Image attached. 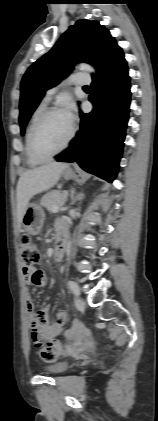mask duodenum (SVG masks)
<instances>
[{"label":"duodenum","instance_id":"obj_1","mask_svg":"<svg viewBox=\"0 0 158 421\" xmlns=\"http://www.w3.org/2000/svg\"><path fill=\"white\" fill-rule=\"evenodd\" d=\"M66 248H67V234L66 232H62L58 236L56 246L54 249V259L56 261H60L63 258L66 252Z\"/></svg>","mask_w":158,"mask_h":421}]
</instances>
